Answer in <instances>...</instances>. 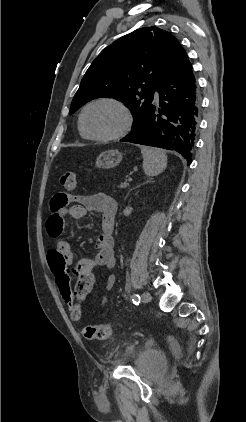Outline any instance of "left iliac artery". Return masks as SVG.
<instances>
[{
    "label": "left iliac artery",
    "instance_id": "left-iliac-artery-1",
    "mask_svg": "<svg viewBox=\"0 0 246 422\" xmlns=\"http://www.w3.org/2000/svg\"><path fill=\"white\" fill-rule=\"evenodd\" d=\"M132 301L134 304L138 305V303H140V296L138 294H133Z\"/></svg>",
    "mask_w": 246,
    "mask_h": 422
}]
</instances>
